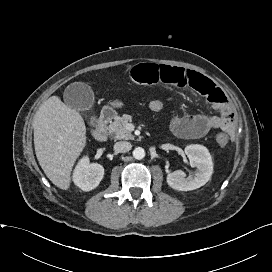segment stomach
Listing matches in <instances>:
<instances>
[{"mask_svg": "<svg viewBox=\"0 0 272 272\" xmlns=\"http://www.w3.org/2000/svg\"><path fill=\"white\" fill-rule=\"evenodd\" d=\"M113 107L115 108H122L124 106L123 102L120 101V100H115L113 103H112Z\"/></svg>", "mask_w": 272, "mask_h": 272, "instance_id": "0dacf381", "label": "stomach"}]
</instances>
